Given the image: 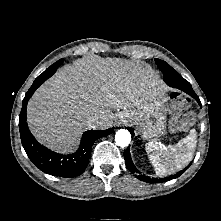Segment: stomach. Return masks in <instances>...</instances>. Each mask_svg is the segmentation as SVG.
Instances as JSON below:
<instances>
[{"label":"stomach","instance_id":"1","mask_svg":"<svg viewBox=\"0 0 221 221\" xmlns=\"http://www.w3.org/2000/svg\"><path fill=\"white\" fill-rule=\"evenodd\" d=\"M165 102L166 97L163 94L143 106L125 109L119 116L131 124L137 125L144 139H152L165 131Z\"/></svg>","mask_w":221,"mask_h":221}]
</instances>
